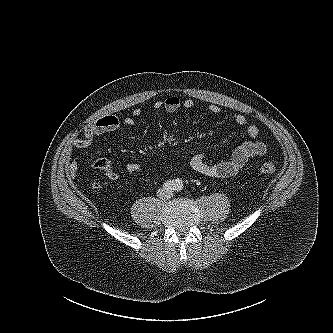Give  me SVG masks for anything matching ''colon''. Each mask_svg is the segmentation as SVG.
Listing matches in <instances>:
<instances>
[{
	"label": "colon",
	"mask_w": 333,
	"mask_h": 333,
	"mask_svg": "<svg viewBox=\"0 0 333 333\" xmlns=\"http://www.w3.org/2000/svg\"><path fill=\"white\" fill-rule=\"evenodd\" d=\"M258 170L263 174H270L276 170V163L273 160H265L258 166Z\"/></svg>",
	"instance_id": "1"
}]
</instances>
